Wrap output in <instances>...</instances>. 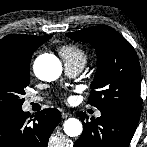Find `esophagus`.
Here are the masks:
<instances>
[{"instance_id": "34e87169", "label": "esophagus", "mask_w": 147, "mask_h": 147, "mask_svg": "<svg viewBox=\"0 0 147 147\" xmlns=\"http://www.w3.org/2000/svg\"><path fill=\"white\" fill-rule=\"evenodd\" d=\"M71 116V114L69 113V112H63L62 113V118L63 119H66V118H68V117H70Z\"/></svg>"}]
</instances>
